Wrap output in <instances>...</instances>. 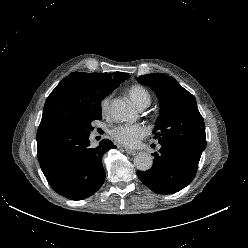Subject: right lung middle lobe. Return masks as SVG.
Wrapping results in <instances>:
<instances>
[{
  "instance_id": "obj_1",
  "label": "right lung middle lobe",
  "mask_w": 248,
  "mask_h": 248,
  "mask_svg": "<svg viewBox=\"0 0 248 248\" xmlns=\"http://www.w3.org/2000/svg\"><path fill=\"white\" fill-rule=\"evenodd\" d=\"M100 119H102V111L101 104H98L84 115L66 121L62 127L71 128L82 133H90L94 129L91 125L92 121Z\"/></svg>"
}]
</instances>
